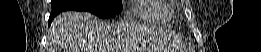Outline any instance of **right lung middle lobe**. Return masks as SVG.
Returning <instances> with one entry per match:
<instances>
[{
  "instance_id": "dd1d6c3e",
  "label": "right lung middle lobe",
  "mask_w": 261,
  "mask_h": 52,
  "mask_svg": "<svg viewBox=\"0 0 261 52\" xmlns=\"http://www.w3.org/2000/svg\"><path fill=\"white\" fill-rule=\"evenodd\" d=\"M52 11H88L100 18L116 15L123 8L121 0H52Z\"/></svg>"
}]
</instances>
